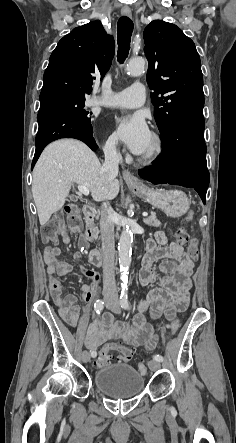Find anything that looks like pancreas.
<instances>
[{"label":"pancreas","instance_id":"obj_1","mask_svg":"<svg viewBox=\"0 0 236 443\" xmlns=\"http://www.w3.org/2000/svg\"><path fill=\"white\" fill-rule=\"evenodd\" d=\"M145 224H147L150 227H160L161 226V222L157 219L156 214L155 213H151V215L144 219ZM99 233L98 228H95V236H97Z\"/></svg>","mask_w":236,"mask_h":443}]
</instances>
